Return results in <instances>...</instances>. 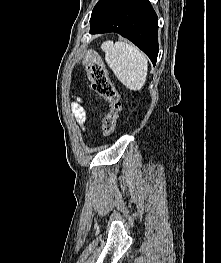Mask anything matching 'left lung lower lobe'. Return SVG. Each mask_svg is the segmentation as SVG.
<instances>
[{
	"mask_svg": "<svg viewBox=\"0 0 221 263\" xmlns=\"http://www.w3.org/2000/svg\"><path fill=\"white\" fill-rule=\"evenodd\" d=\"M116 32L132 41L156 64L158 17L149 0H100L90 19V33Z\"/></svg>",
	"mask_w": 221,
	"mask_h": 263,
	"instance_id": "obj_1",
	"label": "left lung lower lobe"
}]
</instances>
